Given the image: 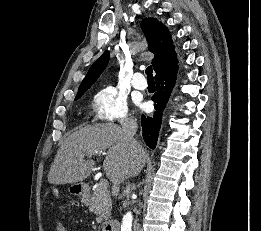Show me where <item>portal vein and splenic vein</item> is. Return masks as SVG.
I'll use <instances>...</instances> for the list:
<instances>
[{"label": "portal vein and splenic vein", "instance_id": "1", "mask_svg": "<svg viewBox=\"0 0 261 231\" xmlns=\"http://www.w3.org/2000/svg\"><path fill=\"white\" fill-rule=\"evenodd\" d=\"M102 153H103V151H95L93 154H96V155H97V154H102ZM88 155L91 156L92 153H88ZM99 186H100L101 188L107 190V188H108V181H107L106 179L102 178V179L100 180V182H99Z\"/></svg>", "mask_w": 261, "mask_h": 231}]
</instances>
